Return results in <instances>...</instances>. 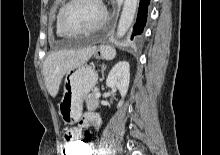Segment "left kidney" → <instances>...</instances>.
I'll use <instances>...</instances> for the list:
<instances>
[{
    "instance_id": "1",
    "label": "left kidney",
    "mask_w": 220,
    "mask_h": 155,
    "mask_svg": "<svg viewBox=\"0 0 220 155\" xmlns=\"http://www.w3.org/2000/svg\"><path fill=\"white\" fill-rule=\"evenodd\" d=\"M130 82V65L127 61H119L111 69L106 79V85L110 88H115L120 91L122 99L117 107H121L123 99L127 94Z\"/></svg>"
}]
</instances>
